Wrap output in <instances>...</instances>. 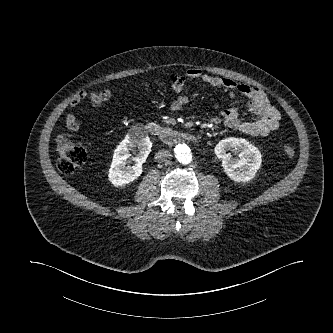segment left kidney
<instances>
[{"instance_id": "left-kidney-1", "label": "left kidney", "mask_w": 333, "mask_h": 333, "mask_svg": "<svg viewBox=\"0 0 333 333\" xmlns=\"http://www.w3.org/2000/svg\"><path fill=\"white\" fill-rule=\"evenodd\" d=\"M238 149L239 159H234L229 153ZM216 156L222 160V166L227 176L236 182H248L254 178L261 166V153L257 147L243 138H225L215 146Z\"/></svg>"}]
</instances>
